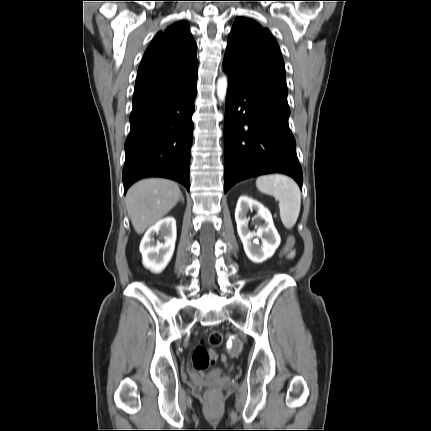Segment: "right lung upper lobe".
<instances>
[{
	"label": "right lung upper lobe",
	"instance_id": "1",
	"mask_svg": "<svg viewBox=\"0 0 431 431\" xmlns=\"http://www.w3.org/2000/svg\"><path fill=\"white\" fill-rule=\"evenodd\" d=\"M196 51L186 22L158 32L138 69L132 111L165 101L196 81Z\"/></svg>",
	"mask_w": 431,
	"mask_h": 431
}]
</instances>
